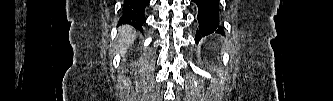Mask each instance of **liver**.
Segmentation results:
<instances>
[{"label":"liver","instance_id":"obj_1","mask_svg":"<svg viewBox=\"0 0 333 101\" xmlns=\"http://www.w3.org/2000/svg\"><path fill=\"white\" fill-rule=\"evenodd\" d=\"M136 38L135 30L128 25H123L119 28V45L120 49L128 48Z\"/></svg>","mask_w":333,"mask_h":101}]
</instances>
